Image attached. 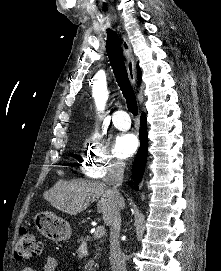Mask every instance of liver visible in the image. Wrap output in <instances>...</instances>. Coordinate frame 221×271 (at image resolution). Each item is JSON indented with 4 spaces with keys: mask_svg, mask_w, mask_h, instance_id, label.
Returning <instances> with one entry per match:
<instances>
[{
    "mask_svg": "<svg viewBox=\"0 0 221 271\" xmlns=\"http://www.w3.org/2000/svg\"><path fill=\"white\" fill-rule=\"evenodd\" d=\"M43 195L53 207L69 215H77L88 207L89 201H95L96 197L102 195L98 199L97 209L103 213L106 225H109L116 205H119L120 209L125 207L123 197L118 201L112 199L107 195L103 181L98 179H72V181L59 179L58 183L44 191Z\"/></svg>",
    "mask_w": 221,
    "mask_h": 271,
    "instance_id": "1",
    "label": "liver"
}]
</instances>
